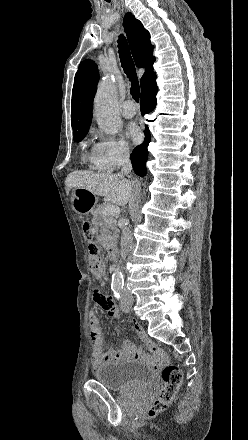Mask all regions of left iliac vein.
<instances>
[{"instance_id":"obj_1","label":"left iliac vein","mask_w":248,"mask_h":440,"mask_svg":"<svg viewBox=\"0 0 248 440\" xmlns=\"http://www.w3.org/2000/svg\"><path fill=\"white\" fill-rule=\"evenodd\" d=\"M121 309L123 312L128 313L130 311V305H128L125 300H122Z\"/></svg>"}]
</instances>
